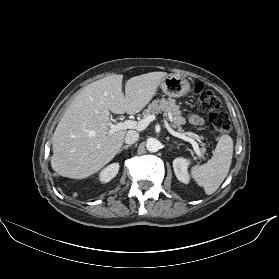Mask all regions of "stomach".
Instances as JSON below:
<instances>
[{
    "instance_id": "0dacf381",
    "label": "stomach",
    "mask_w": 279,
    "mask_h": 279,
    "mask_svg": "<svg viewBox=\"0 0 279 279\" xmlns=\"http://www.w3.org/2000/svg\"><path fill=\"white\" fill-rule=\"evenodd\" d=\"M163 93L169 97L178 98L190 91L189 82L178 74H168L159 84Z\"/></svg>"
}]
</instances>
